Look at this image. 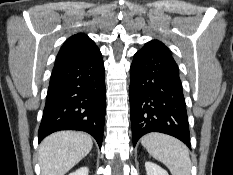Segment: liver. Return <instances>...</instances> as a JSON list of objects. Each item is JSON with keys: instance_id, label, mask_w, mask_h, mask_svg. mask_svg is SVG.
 Returning <instances> with one entry per match:
<instances>
[{"instance_id": "1", "label": "liver", "mask_w": 233, "mask_h": 175, "mask_svg": "<svg viewBox=\"0 0 233 175\" xmlns=\"http://www.w3.org/2000/svg\"><path fill=\"white\" fill-rule=\"evenodd\" d=\"M92 138L79 131H59L40 144L41 175H65L92 149Z\"/></svg>"}]
</instances>
